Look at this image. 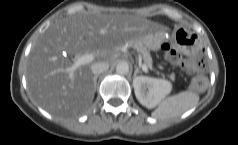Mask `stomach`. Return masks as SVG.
<instances>
[{
    "label": "stomach",
    "instance_id": "1",
    "mask_svg": "<svg viewBox=\"0 0 238 145\" xmlns=\"http://www.w3.org/2000/svg\"><path fill=\"white\" fill-rule=\"evenodd\" d=\"M170 36L174 44L185 51H192L201 47L198 34L191 31L185 25L174 26L171 30Z\"/></svg>",
    "mask_w": 238,
    "mask_h": 145
}]
</instances>
